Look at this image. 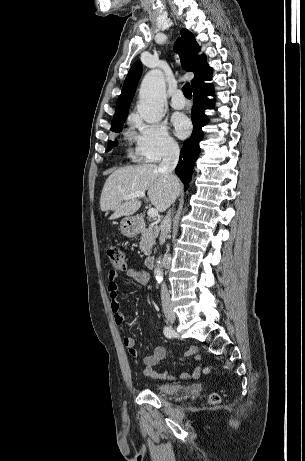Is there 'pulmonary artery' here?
Here are the masks:
<instances>
[{
    "instance_id": "obj_1",
    "label": "pulmonary artery",
    "mask_w": 305,
    "mask_h": 461,
    "mask_svg": "<svg viewBox=\"0 0 305 461\" xmlns=\"http://www.w3.org/2000/svg\"><path fill=\"white\" fill-rule=\"evenodd\" d=\"M170 105L173 109L180 110L183 109L186 106V100L183 97V94L181 91H176L171 100H170Z\"/></svg>"
}]
</instances>
